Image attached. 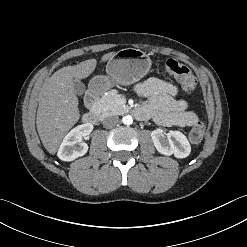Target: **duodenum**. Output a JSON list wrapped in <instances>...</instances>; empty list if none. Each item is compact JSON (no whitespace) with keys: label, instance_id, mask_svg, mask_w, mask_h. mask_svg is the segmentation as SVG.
Returning <instances> with one entry per match:
<instances>
[{"label":"duodenum","instance_id":"1","mask_svg":"<svg viewBox=\"0 0 247 247\" xmlns=\"http://www.w3.org/2000/svg\"><path fill=\"white\" fill-rule=\"evenodd\" d=\"M101 88L98 85H94L85 96V104L88 107V111L83 115V122L87 124L96 125L98 123V114L94 110V104L99 97Z\"/></svg>","mask_w":247,"mask_h":247}]
</instances>
